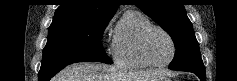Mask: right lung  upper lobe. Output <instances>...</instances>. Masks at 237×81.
Returning a JSON list of instances; mask_svg holds the SVG:
<instances>
[{
	"label": "right lung upper lobe",
	"instance_id": "obj_1",
	"mask_svg": "<svg viewBox=\"0 0 237 81\" xmlns=\"http://www.w3.org/2000/svg\"><path fill=\"white\" fill-rule=\"evenodd\" d=\"M119 4V0H62L55 11L54 19L82 17L110 20Z\"/></svg>",
	"mask_w": 237,
	"mask_h": 81
}]
</instances>
